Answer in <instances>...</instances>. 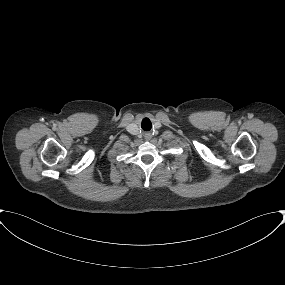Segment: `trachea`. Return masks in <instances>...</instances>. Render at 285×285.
<instances>
[{
	"mask_svg": "<svg viewBox=\"0 0 285 285\" xmlns=\"http://www.w3.org/2000/svg\"><path fill=\"white\" fill-rule=\"evenodd\" d=\"M141 127L144 131H149L152 128V124L148 118L143 119Z\"/></svg>",
	"mask_w": 285,
	"mask_h": 285,
	"instance_id": "3493384b",
	"label": "trachea"
}]
</instances>
